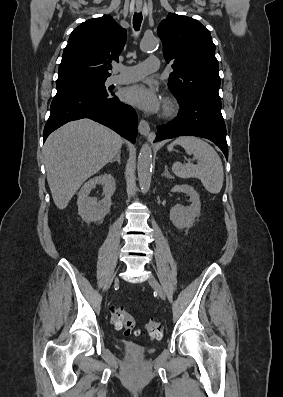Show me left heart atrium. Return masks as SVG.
Instances as JSON below:
<instances>
[{
    "label": "left heart atrium",
    "instance_id": "1",
    "mask_svg": "<svg viewBox=\"0 0 283 397\" xmlns=\"http://www.w3.org/2000/svg\"><path fill=\"white\" fill-rule=\"evenodd\" d=\"M122 99L127 104L147 113L158 112L161 105L155 90L144 84H134L125 88L122 92Z\"/></svg>",
    "mask_w": 283,
    "mask_h": 397
}]
</instances>
